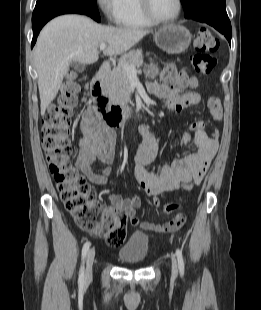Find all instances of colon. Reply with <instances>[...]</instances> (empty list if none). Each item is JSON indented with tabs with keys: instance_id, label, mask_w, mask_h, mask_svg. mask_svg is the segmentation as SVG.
I'll use <instances>...</instances> for the list:
<instances>
[{
	"instance_id": "5ec220e1",
	"label": "colon",
	"mask_w": 261,
	"mask_h": 310,
	"mask_svg": "<svg viewBox=\"0 0 261 310\" xmlns=\"http://www.w3.org/2000/svg\"><path fill=\"white\" fill-rule=\"evenodd\" d=\"M194 47L196 53L191 58L196 73L209 76L217 65L213 56L219 49V41L208 30L199 31ZM152 73H155L152 70ZM74 74H70L55 104L50 106L42 126V145L46 154L49 170L56 182L61 200L67 211L83 230L102 237L110 246L121 245L127 235L128 216L118 213L110 216H100V206L95 191L87 184L85 178L72 166L70 162L72 148L69 139L71 117L77 104V85ZM163 81L170 87L190 86L195 80L183 71L169 65L164 70ZM211 117L221 121L223 110L217 96H211L207 102ZM178 111V110H177ZM213 137H218V130H214ZM193 181H186L183 189L191 190ZM177 208L174 203H168L160 208L161 214H167ZM184 214H177L171 221L158 230L173 233L185 224Z\"/></svg>"
}]
</instances>
